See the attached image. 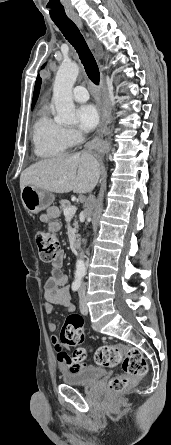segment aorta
<instances>
[{"label":"aorta","mask_w":171,"mask_h":445,"mask_svg":"<svg viewBox=\"0 0 171 445\" xmlns=\"http://www.w3.org/2000/svg\"><path fill=\"white\" fill-rule=\"evenodd\" d=\"M79 73L75 62H63L55 76L52 101L56 108L55 120L58 123L73 124L76 122L75 105L72 98V89ZM83 251L76 262L75 283H80L85 275L86 267L83 260Z\"/></svg>","instance_id":"obj_1"}]
</instances>
